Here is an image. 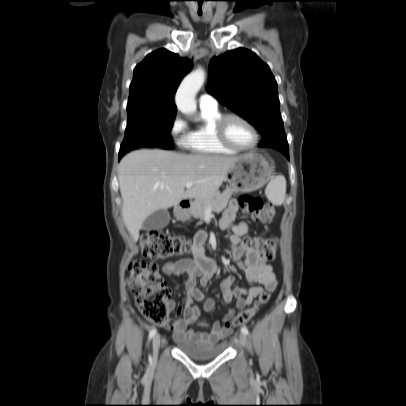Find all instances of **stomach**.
Listing matches in <instances>:
<instances>
[{
	"instance_id": "1",
	"label": "stomach",
	"mask_w": 406,
	"mask_h": 406,
	"mask_svg": "<svg viewBox=\"0 0 406 406\" xmlns=\"http://www.w3.org/2000/svg\"><path fill=\"white\" fill-rule=\"evenodd\" d=\"M274 165L261 153L256 151L241 155L225 180L233 192H251L263 187L272 178ZM175 217L180 220L190 218V210L176 208Z\"/></svg>"
}]
</instances>
